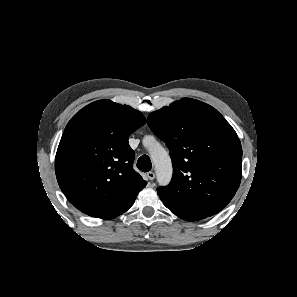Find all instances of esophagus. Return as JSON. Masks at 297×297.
Returning <instances> with one entry per match:
<instances>
[{
  "mask_svg": "<svg viewBox=\"0 0 297 297\" xmlns=\"http://www.w3.org/2000/svg\"><path fill=\"white\" fill-rule=\"evenodd\" d=\"M146 176H147L148 180H151V181L154 180V178H155V174L152 171L148 172Z\"/></svg>",
  "mask_w": 297,
  "mask_h": 297,
  "instance_id": "obj_1",
  "label": "esophagus"
}]
</instances>
